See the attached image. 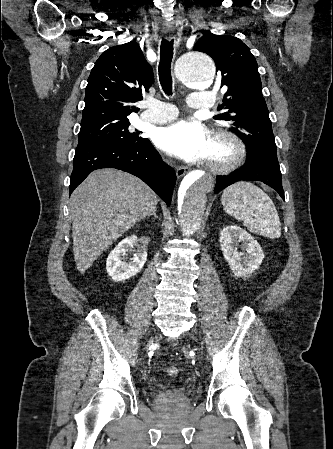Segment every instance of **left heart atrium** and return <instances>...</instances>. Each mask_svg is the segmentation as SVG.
I'll list each match as a JSON object with an SVG mask.
<instances>
[{
  "mask_svg": "<svg viewBox=\"0 0 333 449\" xmlns=\"http://www.w3.org/2000/svg\"><path fill=\"white\" fill-rule=\"evenodd\" d=\"M154 141L167 154L188 162L207 158L211 146L209 132L198 123L187 120L159 128Z\"/></svg>",
  "mask_w": 333,
  "mask_h": 449,
  "instance_id": "left-heart-atrium-1",
  "label": "left heart atrium"
}]
</instances>
